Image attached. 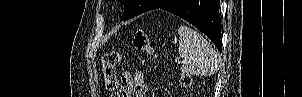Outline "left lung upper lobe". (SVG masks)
I'll return each instance as SVG.
<instances>
[{
    "label": "left lung upper lobe",
    "instance_id": "5c2ea615",
    "mask_svg": "<svg viewBox=\"0 0 302 97\" xmlns=\"http://www.w3.org/2000/svg\"><path fill=\"white\" fill-rule=\"evenodd\" d=\"M126 7V11L120 18V21L130 19L147 10L154 0H120Z\"/></svg>",
    "mask_w": 302,
    "mask_h": 97
}]
</instances>
